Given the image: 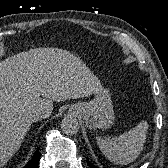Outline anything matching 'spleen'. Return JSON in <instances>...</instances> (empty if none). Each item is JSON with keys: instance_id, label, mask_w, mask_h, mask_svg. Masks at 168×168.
I'll return each instance as SVG.
<instances>
[{"instance_id": "spleen-1", "label": "spleen", "mask_w": 168, "mask_h": 168, "mask_svg": "<svg viewBox=\"0 0 168 168\" xmlns=\"http://www.w3.org/2000/svg\"><path fill=\"white\" fill-rule=\"evenodd\" d=\"M148 123L141 121L137 126L116 138L97 137V145L104 156L120 165L133 162L143 150Z\"/></svg>"}]
</instances>
